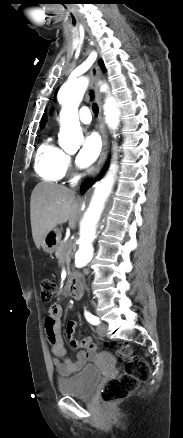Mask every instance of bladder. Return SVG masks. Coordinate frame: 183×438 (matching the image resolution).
<instances>
[{"instance_id": "1", "label": "bladder", "mask_w": 183, "mask_h": 438, "mask_svg": "<svg viewBox=\"0 0 183 438\" xmlns=\"http://www.w3.org/2000/svg\"><path fill=\"white\" fill-rule=\"evenodd\" d=\"M101 381V374L96 367H85L79 373L58 380L59 393L81 398L91 397Z\"/></svg>"}]
</instances>
